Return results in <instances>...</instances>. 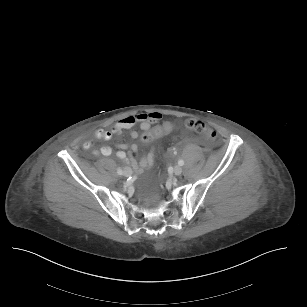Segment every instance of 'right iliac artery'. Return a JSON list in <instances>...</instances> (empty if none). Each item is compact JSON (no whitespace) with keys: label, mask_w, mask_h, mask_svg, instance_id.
<instances>
[{"label":"right iliac artery","mask_w":307,"mask_h":307,"mask_svg":"<svg viewBox=\"0 0 307 307\" xmlns=\"http://www.w3.org/2000/svg\"><path fill=\"white\" fill-rule=\"evenodd\" d=\"M117 173H118L119 175H123V174H124L123 170L120 169V168L117 169Z\"/></svg>","instance_id":"1"}]
</instances>
